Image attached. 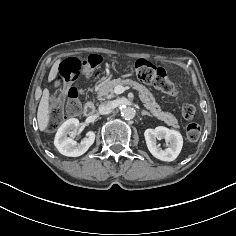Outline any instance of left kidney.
Returning <instances> with one entry per match:
<instances>
[{
    "instance_id": "left-kidney-1",
    "label": "left kidney",
    "mask_w": 236,
    "mask_h": 236,
    "mask_svg": "<svg viewBox=\"0 0 236 236\" xmlns=\"http://www.w3.org/2000/svg\"><path fill=\"white\" fill-rule=\"evenodd\" d=\"M144 136L150 153L157 159L162 161H173L181 152L183 138L176 130L158 126L155 129L145 130ZM162 139L166 142V149H162L157 142V140Z\"/></svg>"
}]
</instances>
